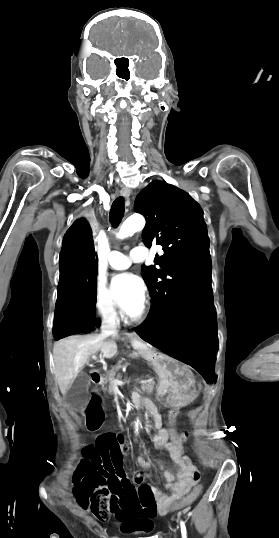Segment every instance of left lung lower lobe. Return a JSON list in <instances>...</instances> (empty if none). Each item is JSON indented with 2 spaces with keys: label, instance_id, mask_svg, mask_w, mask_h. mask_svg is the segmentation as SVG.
Listing matches in <instances>:
<instances>
[{
  "label": "left lung lower lobe",
  "instance_id": "obj_1",
  "mask_svg": "<svg viewBox=\"0 0 279 538\" xmlns=\"http://www.w3.org/2000/svg\"><path fill=\"white\" fill-rule=\"evenodd\" d=\"M134 330L143 340L195 368L208 382L215 380L217 328L211 285L185 297L160 323H143Z\"/></svg>",
  "mask_w": 279,
  "mask_h": 538
}]
</instances>
